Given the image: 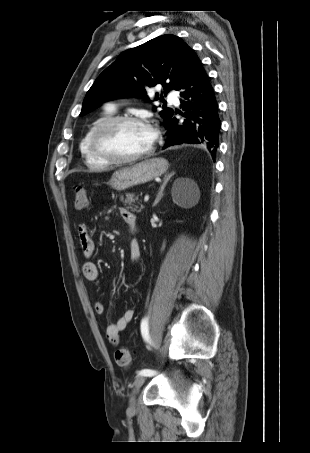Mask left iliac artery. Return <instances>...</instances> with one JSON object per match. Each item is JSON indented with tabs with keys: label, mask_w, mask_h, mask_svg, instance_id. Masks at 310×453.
Wrapping results in <instances>:
<instances>
[{
	"label": "left iliac artery",
	"mask_w": 310,
	"mask_h": 453,
	"mask_svg": "<svg viewBox=\"0 0 310 453\" xmlns=\"http://www.w3.org/2000/svg\"><path fill=\"white\" fill-rule=\"evenodd\" d=\"M141 333L144 338V340L148 343H151L150 336H149V330H148V318H144L141 322ZM157 372L155 370L151 369H142L139 371V375H144V376H154L156 375Z\"/></svg>",
	"instance_id": "obj_1"
}]
</instances>
